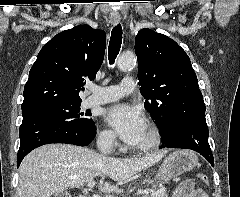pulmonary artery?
Masks as SVG:
<instances>
[{
	"mask_svg": "<svg viewBox=\"0 0 240 197\" xmlns=\"http://www.w3.org/2000/svg\"><path fill=\"white\" fill-rule=\"evenodd\" d=\"M135 88L136 84L132 76H125L119 85L108 87L91 86L92 94L87 98V105L94 106L114 102L131 94Z\"/></svg>",
	"mask_w": 240,
	"mask_h": 197,
	"instance_id": "e3ab8cb5",
	"label": "pulmonary artery"
}]
</instances>
